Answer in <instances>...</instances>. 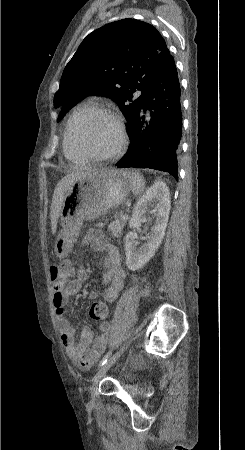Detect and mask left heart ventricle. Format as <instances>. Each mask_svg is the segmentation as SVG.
Masks as SVG:
<instances>
[{"label":"left heart ventricle","mask_w":245,"mask_h":450,"mask_svg":"<svg viewBox=\"0 0 245 450\" xmlns=\"http://www.w3.org/2000/svg\"><path fill=\"white\" fill-rule=\"evenodd\" d=\"M75 134L80 145L98 156L113 152L120 140L116 125L105 118H98L90 123L76 121Z\"/></svg>","instance_id":"left-heart-ventricle-1"}]
</instances>
